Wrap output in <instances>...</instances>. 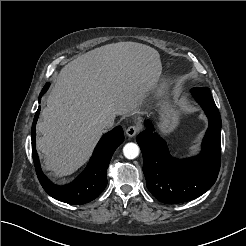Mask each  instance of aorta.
I'll list each match as a JSON object with an SVG mask.
<instances>
[{"label":"aorta","mask_w":246,"mask_h":246,"mask_svg":"<svg viewBox=\"0 0 246 246\" xmlns=\"http://www.w3.org/2000/svg\"><path fill=\"white\" fill-rule=\"evenodd\" d=\"M139 150V146L131 142L123 147V154L127 159H134L139 155Z\"/></svg>","instance_id":"aorta-1"}]
</instances>
